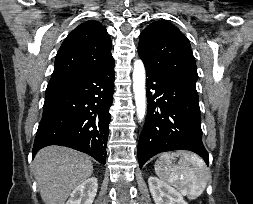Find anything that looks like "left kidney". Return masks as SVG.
<instances>
[{
	"label": "left kidney",
	"instance_id": "left-kidney-1",
	"mask_svg": "<svg viewBox=\"0 0 253 204\" xmlns=\"http://www.w3.org/2000/svg\"><path fill=\"white\" fill-rule=\"evenodd\" d=\"M148 184L155 204H188L176 189L157 177H149Z\"/></svg>",
	"mask_w": 253,
	"mask_h": 204
}]
</instances>
